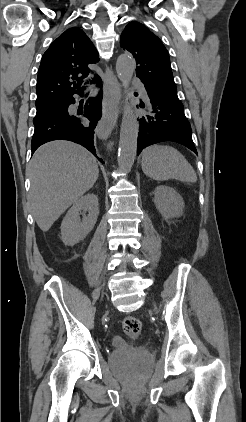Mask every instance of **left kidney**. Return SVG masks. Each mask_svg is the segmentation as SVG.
Here are the masks:
<instances>
[{"mask_svg":"<svg viewBox=\"0 0 246 422\" xmlns=\"http://www.w3.org/2000/svg\"><path fill=\"white\" fill-rule=\"evenodd\" d=\"M154 204L160 214L167 220L183 214L184 201L177 191L166 185L157 186L154 190Z\"/></svg>","mask_w":246,"mask_h":422,"instance_id":"1","label":"left kidney"}]
</instances>
